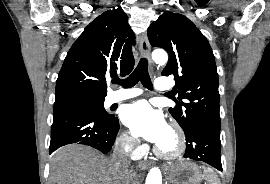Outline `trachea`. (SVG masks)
I'll return each mask as SVG.
<instances>
[{"label": "trachea", "mask_w": 270, "mask_h": 184, "mask_svg": "<svg viewBox=\"0 0 270 184\" xmlns=\"http://www.w3.org/2000/svg\"><path fill=\"white\" fill-rule=\"evenodd\" d=\"M141 81L142 85L147 89L152 90V82L148 73V61L145 58H142L137 65L136 69L131 73L126 79H116L113 80L114 84L122 85L123 88H131Z\"/></svg>", "instance_id": "1"}]
</instances>
